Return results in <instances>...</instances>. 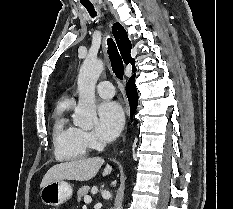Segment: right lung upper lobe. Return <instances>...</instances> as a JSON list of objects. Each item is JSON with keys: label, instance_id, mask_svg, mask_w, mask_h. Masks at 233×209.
I'll return each mask as SVG.
<instances>
[{"label": "right lung upper lobe", "instance_id": "1", "mask_svg": "<svg viewBox=\"0 0 233 209\" xmlns=\"http://www.w3.org/2000/svg\"><path fill=\"white\" fill-rule=\"evenodd\" d=\"M112 31L124 62L126 64L131 63L133 66V72H135L134 59L131 58L130 54L132 45L125 29L119 23H115L112 27Z\"/></svg>", "mask_w": 233, "mask_h": 209}]
</instances>
